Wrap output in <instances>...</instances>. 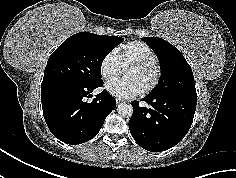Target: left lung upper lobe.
Here are the masks:
<instances>
[{"instance_id":"5c2ea615","label":"left lung upper lobe","mask_w":236,"mask_h":178,"mask_svg":"<svg viewBox=\"0 0 236 178\" xmlns=\"http://www.w3.org/2000/svg\"><path fill=\"white\" fill-rule=\"evenodd\" d=\"M160 60L162 76L149 95H171L196 98L195 81L191 67L180 51L158 37L142 38Z\"/></svg>"}]
</instances>
